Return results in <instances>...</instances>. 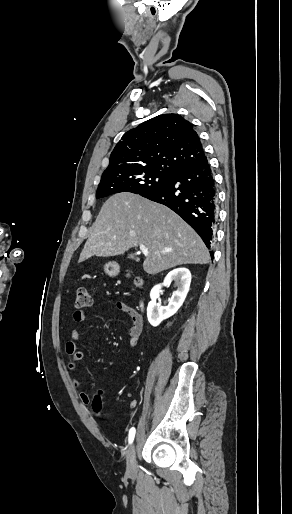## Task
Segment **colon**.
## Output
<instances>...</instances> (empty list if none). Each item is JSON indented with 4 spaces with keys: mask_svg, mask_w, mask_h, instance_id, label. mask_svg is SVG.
Segmentation results:
<instances>
[{
    "mask_svg": "<svg viewBox=\"0 0 292 514\" xmlns=\"http://www.w3.org/2000/svg\"><path fill=\"white\" fill-rule=\"evenodd\" d=\"M135 284H138L140 282L139 278H135L134 280ZM90 307V297L86 289H78L76 292V301H75V308L76 311L80 310H86ZM94 405L92 406V410L97 414L96 416L99 417L100 415L98 413L101 412V397L96 396L93 399Z\"/></svg>",
    "mask_w": 292,
    "mask_h": 514,
    "instance_id": "1",
    "label": "colon"
}]
</instances>
